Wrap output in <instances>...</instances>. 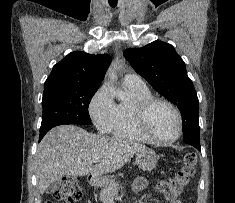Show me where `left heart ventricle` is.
I'll list each match as a JSON object with an SVG mask.
<instances>
[{"label":"left heart ventricle","instance_id":"left-heart-ventricle-1","mask_svg":"<svg viewBox=\"0 0 235 203\" xmlns=\"http://www.w3.org/2000/svg\"><path fill=\"white\" fill-rule=\"evenodd\" d=\"M147 127L156 137L167 139L176 135L178 122L174 111L166 104H155L147 114Z\"/></svg>","mask_w":235,"mask_h":203}]
</instances>
